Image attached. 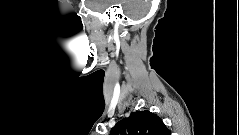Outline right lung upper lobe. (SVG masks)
Listing matches in <instances>:
<instances>
[{
  "instance_id": "right-lung-upper-lobe-1",
  "label": "right lung upper lobe",
  "mask_w": 239,
  "mask_h": 135,
  "mask_svg": "<svg viewBox=\"0 0 239 135\" xmlns=\"http://www.w3.org/2000/svg\"><path fill=\"white\" fill-rule=\"evenodd\" d=\"M110 135H170L162 120L148 110L132 112L128 118L120 120Z\"/></svg>"
}]
</instances>
